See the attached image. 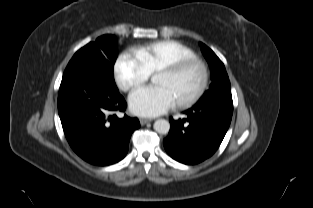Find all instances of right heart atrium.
Wrapping results in <instances>:
<instances>
[{
  "label": "right heart atrium",
  "mask_w": 313,
  "mask_h": 208,
  "mask_svg": "<svg viewBox=\"0 0 313 208\" xmlns=\"http://www.w3.org/2000/svg\"><path fill=\"white\" fill-rule=\"evenodd\" d=\"M114 76L118 86L129 91L146 82L150 73L135 52H125L115 62Z\"/></svg>",
  "instance_id": "obj_1"
}]
</instances>
